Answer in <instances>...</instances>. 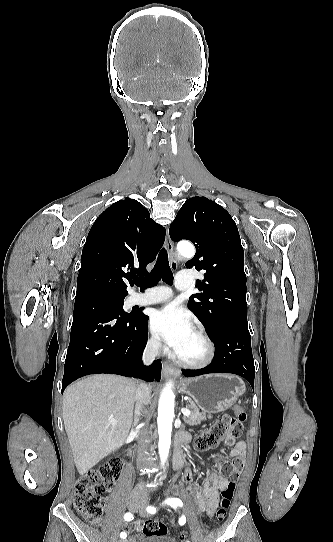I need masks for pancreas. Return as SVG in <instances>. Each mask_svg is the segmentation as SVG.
I'll return each mask as SVG.
<instances>
[{
	"label": "pancreas",
	"mask_w": 333,
	"mask_h": 542,
	"mask_svg": "<svg viewBox=\"0 0 333 542\" xmlns=\"http://www.w3.org/2000/svg\"><path fill=\"white\" fill-rule=\"evenodd\" d=\"M186 408H189L191 414L190 416H184L183 420L185 424H189V426H198V424H201L202 420L213 418L212 414H215V412H199V408H197L194 402H190V400L188 404H186Z\"/></svg>",
	"instance_id": "1"
}]
</instances>
